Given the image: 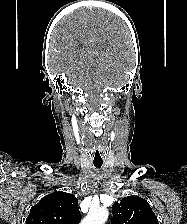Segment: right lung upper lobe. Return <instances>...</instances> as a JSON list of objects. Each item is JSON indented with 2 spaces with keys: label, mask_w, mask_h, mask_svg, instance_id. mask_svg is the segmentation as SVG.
<instances>
[{
  "label": "right lung upper lobe",
  "mask_w": 187,
  "mask_h": 224,
  "mask_svg": "<svg viewBox=\"0 0 187 224\" xmlns=\"http://www.w3.org/2000/svg\"><path fill=\"white\" fill-rule=\"evenodd\" d=\"M80 217L73 194L53 192L31 207L26 224H78Z\"/></svg>",
  "instance_id": "cb5924a9"
}]
</instances>
